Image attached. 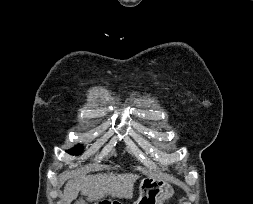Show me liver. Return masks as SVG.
<instances>
[{"mask_svg":"<svg viewBox=\"0 0 253 204\" xmlns=\"http://www.w3.org/2000/svg\"><path fill=\"white\" fill-rule=\"evenodd\" d=\"M63 178L69 180L64 187L62 204H71L78 197L79 192L86 196L88 201H97L107 195L130 197L137 176L130 174L125 179V175H115L113 173L84 176L67 172ZM75 204L86 203L83 199H80Z\"/></svg>","mask_w":253,"mask_h":204,"instance_id":"6515ba94","label":"liver"}]
</instances>
